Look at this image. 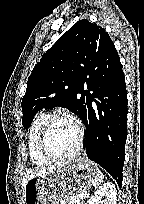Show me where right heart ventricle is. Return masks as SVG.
Instances as JSON below:
<instances>
[{
  "label": "right heart ventricle",
  "instance_id": "e07e8e85",
  "mask_svg": "<svg viewBox=\"0 0 144 204\" xmlns=\"http://www.w3.org/2000/svg\"><path fill=\"white\" fill-rule=\"evenodd\" d=\"M48 116L47 113H40L37 115L34 118L28 133V153L32 164L36 166H46L51 163L50 160L43 157L38 147L39 135Z\"/></svg>",
  "mask_w": 144,
  "mask_h": 204
}]
</instances>
